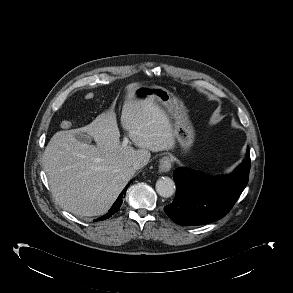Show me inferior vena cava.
I'll return each mask as SVG.
<instances>
[{
  "label": "inferior vena cava",
  "instance_id": "obj_1",
  "mask_svg": "<svg viewBox=\"0 0 293 293\" xmlns=\"http://www.w3.org/2000/svg\"><path fill=\"white\" fill-rule=\"evenodd\" d=\"M148 163L147 159H140L133 163L132 167L137 170L144 167Z\"/></svg>",
  "mask_w": 293,
  "mask_h": 293
}]
</instances>
